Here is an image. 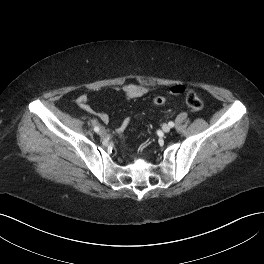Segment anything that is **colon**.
I'll list each match as a JSON object with an SVG mask.
<instances>
[{
    "label": "colon",
    "mask_w": 264,
    "mask_h": 264,
    "mask_svg": "<svg viewBox=\"0 0 264 264\" xmlns=\"http://www.w3.org/2000/svg\"><path fill=\"white\" fill-rule=\"evenodd\" d=\"M166 99L163 96H156L153 102L156 106H161ZM186 103L195 112H201L204 109V104L193 90H188L186 93Z\"/></svg>",
    "instance_id": "5ec220e1"
}]
</instances>
